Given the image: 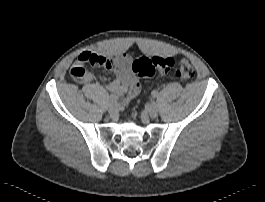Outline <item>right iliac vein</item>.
<instances>
[{
    "label": "right iliac vein",
    "mask_w": 265,
    "mask_h": 202,
    "mask_svg": "<svg viewBox=\"0 0 265 202\" xmlns=\"http://www.w3.org/2000/svg\"><path fill=\"white\" fill-rule=\"evenodd\" d=\"M118 104L117 103H112L108 106V112L110 115H115L118 112Z\"/></svg>",
    "instance_id": "right-iliac-vein-1"
}]
</instances>
